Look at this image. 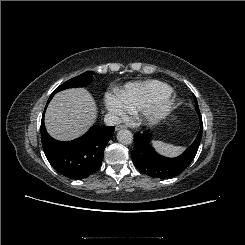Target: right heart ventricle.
I'll list each match as a JSON object with an SVG mask.
<instances>
[{
    "instance_id": "right-heart-ventricle-1",
    "label": "right heart ventricle",
    "mask_w": 245,
    "mask_h": 245,
    "mask_svg": "<svg viewBox=\"0 0 245 245\" xmlns=\"http://www.w3.org/2000/svg\"><path fill=\"white\" fill-rule=\"evenodd\" d=\"M172 93V88L159 80H147L129 83L118 91L130 112L154 102L156 99Z\"/></svg>"
}]
</instances>
